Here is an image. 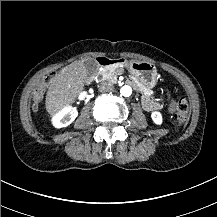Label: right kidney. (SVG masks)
<instances>
[{"instance_id":"obj_1","label":"right kidney","mask_w":217,"mask_h":217,"mask_svg":"<svg viewBox=\"0 0 217 217\" xmlns=\"http://www.w3.org/2000/svg\"><path fill=\"white\" fill-rule=\"evenodd\" d=\"M78 115L76 108L64 106L58 113L52 117V124L56 128L66 127L71 124Z\"/></svg>"}]
</instances>
